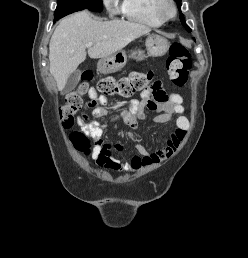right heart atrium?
Masks as SVG:
<instances>
[{
	"label": "right heart atrium",
	"instance_id": "1",
	"mask_svg": "<svg viewBox=\"0 0 248 258\" xmlns=\"http://www.w3.org/2000/svg\"><path fill=\"white\" fill-rule=\"evenodd\" d=\"M119 0H103V4L110 14H114L119 10Z\"/></svg>",
	"mask_w": 248,
	"mask_h": 258
}]
</instances>
